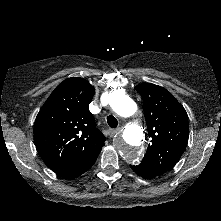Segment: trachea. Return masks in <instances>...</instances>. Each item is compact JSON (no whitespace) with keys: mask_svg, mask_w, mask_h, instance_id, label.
Segmentation results:
<instances>
[{"mask_svg":"<svg viewBox=\"0 0 221 221\" xmlns=\"http://www.w3.org/2000/svg\"><path fill=\"white\" fill-rule=\"evenodd\" d=\"M107 123H108L110 128H116L117 125H118L117 119L112 115L107 117Z\"/></svg>","mask_w":221,"mask_h":221,"instance_id":"3493384b","label":"trachea"}]
</instances>
